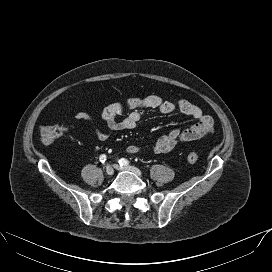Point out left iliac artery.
I'll return each instance as SVG.
<instances>
[{
    "label": "left iliac artery",
    "mask_w": 272,
    "mask_h": 272,
    "mask_svg": "<svg viewBox=\"0 0 272 272\" xmlns=\"http://www.w3.org/2000/svg\"><path fill=\"white\" fill-rule=\"evenodd\" d=\"M119 164H120L121 166H127V165H129V161H128L127 159H125V158H121V159L119 160Z\"/></svg>",
    "instance_id": "obj_1"
}]
</instances>
